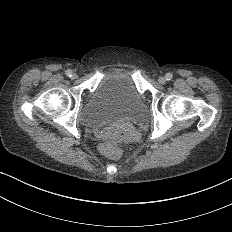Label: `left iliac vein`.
Listing matches in <instances>:
<instances>
[{"instance_id": "left-iliac-vein-1", "label": "left iliac vein", "mask_w": 232, "mask_h": 232, "mask_svg": "<svg viewBox=\"0 0 232 232\" xmlns=\"http://www.w3.org/2000/svg\"><path fill=\"white\" fill-rule=\"evenodd\" d=\"M159 83H160V84H165V83H166V78H165L164 76H161V77L159 78Z\"/></svg>"}]
</instances>
